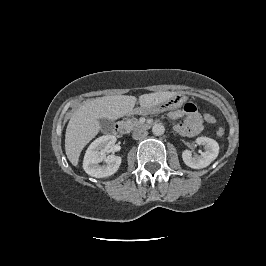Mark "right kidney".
Here are the masks:
<instances>
[{"mask_svg":"<svg viewBox=\"0 0 266 266\" xmlns=\"http://www.w3.org/2000/svg\"><path fill=\"white\" fill-rule=\"evenodd\" d=\"M115 142V136L104 135L90 144L83 160V169L87 174L96 178H104L117 172L121 165V157L106 156ZM102 161H105L106 164L100 165L99 163Z\"/></svg>","mask_w":266,"mask_h":266,"instance_id":"right-kidney-1","label":"right kidney"}]
</instances>
